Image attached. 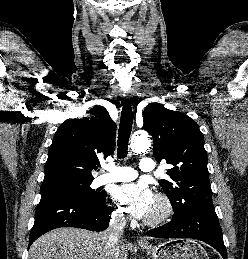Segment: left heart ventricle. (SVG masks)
Returning a JSON list of instances; mask_svg holds the SVG:
<instances>
[{
	"label": "left heart ventricle",
	"instance_id": "left-heart-ventricle-1",
	"mask_svg": "<svg viewBox=\"0 0 248 259\" xmlns=\"http://www.w3.org/2000/svg\"><path fill=\"white\" fill-rule=\"evenodd\" d=\"M161 212V206L159 204V202L155 199L152 208L149 212V214L147 215L148 218L150 217H155L157 216L159 213Z\"/></svg>",
	"mask_w": 248,
	"mask_h": 259
}]
</instances>
